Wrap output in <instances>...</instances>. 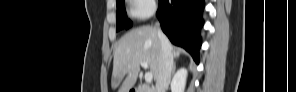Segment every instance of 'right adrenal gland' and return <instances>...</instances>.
Here are the masks:
<instances>
[{
    "mask_svg": "<svg viewBox=\"0 0 296 92\" xmlns=\"http://www.w3.org/2000/svg\"><path fill=\"white\" fill-rule=\"evenodd\" d=\"M175 72H176V63L173 64L171 76H174Z\"/></svg>",
    "mask_w": 296,
    "mask_h": 92,
    "instance_id": "right-adrenal-gland-1",
    "label": "right adrenal gland"
}]
</instances>
